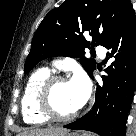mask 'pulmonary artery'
Here are the masks:
<instances>
[{"instance_id":"pulmonary-artery-1","label":"pulmonary artery","mask_w":136,"mask_h":136,"mask_svg":"<svg viewBox=\"0 0 136 136\" xmlns=\"http://www.w3.org/2000/svg\"><path fill=\"white\" fill-rule=\"evenodd\" d=\"M96 51H97L98 55H100L101 57L105 56V49L102 46H97Z\"/></svg>"}]
</instances>
